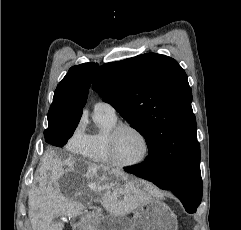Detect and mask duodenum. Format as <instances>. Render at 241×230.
I'll use <instances>...</instances> for the list:
<instances>
[{"mask_svg":"<svg viewBox=\"0 0 241 230\" xmlns=\"http://www.w3.org/2000/svg\"><path fill=\"white\" fill-rule=\"evenodd\" d=\"M86 219H87V216L84 214L76 215L73 217L71 225L74 228H78L85 222Z\"/></svg>","mask_w":241,"mask_h":230,"instance_id":"obj_1","label":"duodenum"}]
</instances>
